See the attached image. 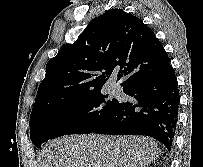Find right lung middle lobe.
Wrapping results in <instances>:
<instances>
[{"label":"right lung middle lobe","mask_w":203,"mask_h":167,"mask_svg":"<svg viewBox=\"0 0 203 167\" xmlns=\"http://www.w3.org/2000/svg\"><path fill=\"white\" fill-rule=\"evenodd\" d=\"M121 102L103 95L101 90L52 100L32 111L29 122L31 141L40 147L63 135L92 133Z\"/></svg>","instance_id":"dd1d6c3e"}]
</instances>
